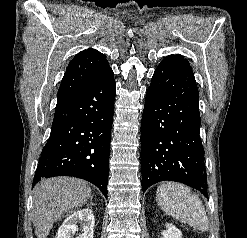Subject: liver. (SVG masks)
Masks as SVG:
<instances>
[{
    "label": "liver",
    "instance_id": "1",
    "mask_svg": "<svg viewBox=\"0 0 247 238\" xmlns=\"http://www.w3.org/2000/svg\"><path fill=\"white\" fill-rule=\"evenodd\" d=\"M91 197L89 185L70 177L43 180L33 190V223L37 238H46L65 212L84 205Z\"/></svg>",
    "mask_w": 247,
    "mask_h": 238
}]
</instances>
